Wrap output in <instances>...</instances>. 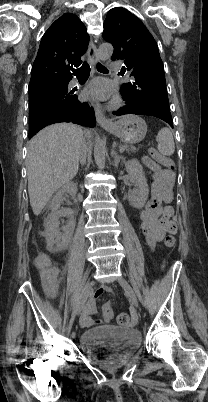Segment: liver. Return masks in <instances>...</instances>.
<instances>
[{
    "label": "liver",
    "instance_id": "obj_1",
    "mask_svg": "<svg viewBox=\"0 0 208 402\" xmlns=\"http://www.w3.org/2000/svg\"><path fill=\"white\" fill-rule=\"evenodd\" d=\"M83 134L74 124H53L30 140L26 160L28 192L36 216L54 192L76 176Z\"/></svg>",
    "mask_w": 208,
    "mask_h": 402
}]
</instances>
